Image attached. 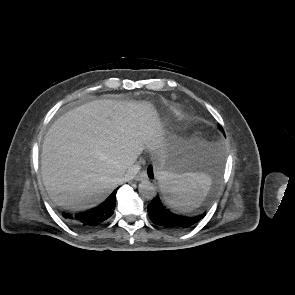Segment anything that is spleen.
<instances>
[{
	"label": "spleen",
	"instance_id": "spleen-1",
	"mask_svg": "<svg viewBox=\"0 0 295 295\" xmlns=\"http://www.w3.org/2000/svg\"><path fill=\"white\" fill-rule=\"evenodd\" d=\"M160 188L168 205L181 212H190L204 200L211 179L206 174L187 173L175 175L167 172L159 174Z\"/></svg>",
	"mask_w": 295,
	"mask_h": 295
}]
</instances>
